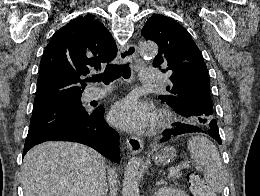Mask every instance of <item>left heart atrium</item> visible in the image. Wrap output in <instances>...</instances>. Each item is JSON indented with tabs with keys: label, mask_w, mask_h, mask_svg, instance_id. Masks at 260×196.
I'll return each mask as SVG.
<instances>
[{
	"label": "left heart atrium",
	"mask_w": 260,
	"mask_h": 196,
	"mask_svg": "<svg viewBox=\"0 0 260 196\" xmlns=\"http://www.w3.org/2000/svg\"><path fill=\"white\" fill-rule=\"evenodd\" d=\"M111 122L123 129L141 131L147 128L154 119L153 108L135 97H126L112 107Z\"/></svg>",
	"instance_id": "left-heart-atrium-1"
}]
</instances>
